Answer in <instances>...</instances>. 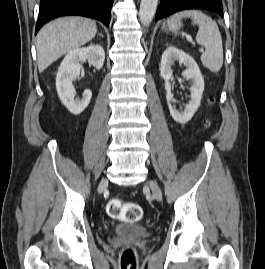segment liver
<instances>
[{"label": "liver", "mask_w": 265, "mask_h": 269, "mask_svg": "<svg viewBox=\"0 0 265 269\" xmlns=\"http://www.w3.org/2000/svg\"><path fill=\"white\" fill-rule=\"evenodd\" d=\"M97 33L94 21L83 17H64L46 24L37 34L39 72L66 53L92 40Z\"/></svg>", "instance_id": "liver-1"}]
</instances>
